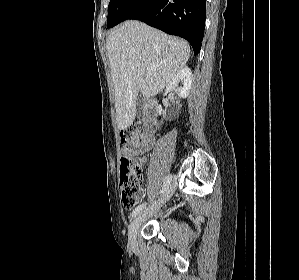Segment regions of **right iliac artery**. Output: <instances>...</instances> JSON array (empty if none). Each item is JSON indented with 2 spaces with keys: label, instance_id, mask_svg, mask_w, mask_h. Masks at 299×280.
Returning a JSON list of instances; mask_svg holds the SVG:
<instances>
[{
  "label": "right iliac artery",
  "instance_id": "right-iliac-artery-1",
  "mask_svg": "<svg viewBox=\"0 0 299 280\" xmlns=\"http://www.w3.org/2000/svg\"><path fill=\"white\" fill-rule=\"evenodd\" d=\"M171 180H172V175L171 174L167 175L165 178L164 185H163L162 189L160 190V193H164L167 190V188L170 185ZM145 205L146 204L143 203V204H140L139 206H137L131 214L132 218L136 217L138 215V213L143 210Z\"/></svg>",
  "mask_w": 299,
  "mask_h": 280
}]
</instances>
